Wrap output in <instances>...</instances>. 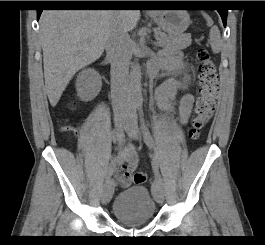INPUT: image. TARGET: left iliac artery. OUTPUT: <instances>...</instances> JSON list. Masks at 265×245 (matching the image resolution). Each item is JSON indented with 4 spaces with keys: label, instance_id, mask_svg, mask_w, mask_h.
I'll use <instances>...</instances> for the list:
<instances>
[{
    "label": "left iliac artery",
    "instance_id": "1",
    "mask_svg": "<svg viewBox=\"0 0 265 245\" xmlns=\"http://www.w3.org/2000/svg\"><path fill=\"white\" fill-rule=\"evenodd\" d=\"M139 117H140L141 129H142V133L144 137V142L150 149L155 150L154 140L152 136L150 135L148 128L146 127L141 106H139ZM152 167H153L154 174H155V182H152V190H154L156 185L161 186V187L163 186L162 178L158 170V162L155 156H153V159H152Z\"/></svg>",
    "mask_w": 265,
    "mask_h": 245
}]
</instances>
